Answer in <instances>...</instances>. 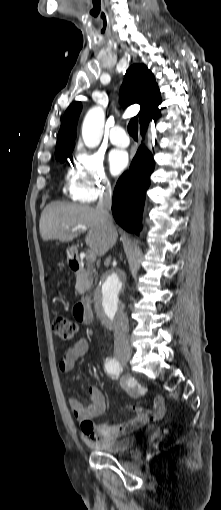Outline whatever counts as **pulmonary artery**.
<instances>
[{"label": "pulmonary artery", "instance_id": "obj_1", "mask_svg": "<svg viewBox=\"0 0 221 510\" xmlns=\"http://www.w3.org/2000/svg\"><path fill=\"white\" fill-rule=\"evenodd\" d=\"M111 142L118 147H127L129 145V137L126 130L120 126L115 125L110 132Z\"/></svg>", "mask_w": 221, "mask_h": 510}]
</instances>
